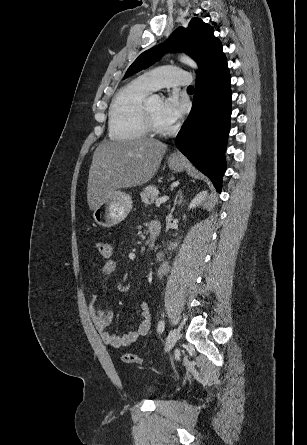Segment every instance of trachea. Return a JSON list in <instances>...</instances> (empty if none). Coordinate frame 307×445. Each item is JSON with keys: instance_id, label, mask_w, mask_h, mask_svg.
I'll return each instance as SVG.
<instances>
[{"instance_id": "obj_1", "label": "trachea", "mask_w": 307, "mask_h": 445, "mask_svg": "<svg viewBox=\"0 0 307 445\" xmlns=\"http://www.w3.org/2000/svg\"><path fill=\"white\" fill-rule=\"evenodd\" d=\"M187 89H193L194 90V87H192V85H189V87H187Z\"/></svg>"}]
</instances>
